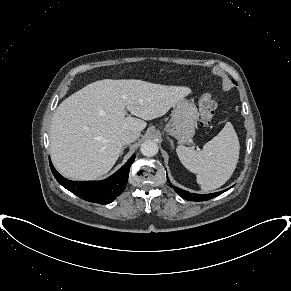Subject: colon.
Here are the masks:
<instances>
[{
	"label": "colon",
	"instance_id": "colon-1",
	"mask_svg": "<svg viewBox=\"0 0 291 291\" xmlns=\"http://www.w3.org/2000/svg\"><path fill=\"white\" fill-rule=\"evenodd\" d=\"M217 107L216 96L209 92H203L198 100V109L200 113L201 125H210L215 116V110Z\"/></svg>",
	"mask_w": 291,
	"mask_h": 291
}]
</instances>
